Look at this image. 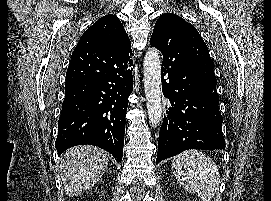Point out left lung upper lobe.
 Masks as SVG:
<instances>
[{
  "mask_svg": "<svg viewBox=\"0 0 271 201\" xmlns=\"http://www.w3.org/2000/svg\"><path fill=\"white\" fill-rule=\"evenodd\" d=\"M173 39L182 41L198 83L211 93L216 101H219L214 63L202 37L193 25L178 15L162 14L155 24L150 44L161 51Z\"/></svg>",
  "mask_w": 271,
  "mask_h": 201,
  "instance_id": "1",
  "label": "left lung upper lobe"
}]
</instances>
